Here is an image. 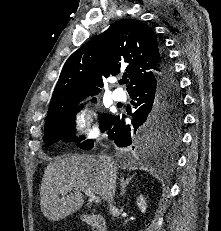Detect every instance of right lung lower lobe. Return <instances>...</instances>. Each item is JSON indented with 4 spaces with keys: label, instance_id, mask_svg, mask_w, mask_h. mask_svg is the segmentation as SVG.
I'll use <instances>...</instances> for the list:
<instances>
[{
    "label": "right lung lower lobe",
    "instance_id": "1",
    "mask_svg": "<svg viewBox=\"0 0 221 231\" xmlns=\"http://www.w3.org/2000/svg\"><path fill=\"white\" fill-rule=\"evenodd\" d=\"M159 77L150 85L138 88L130 92L132 99L136 100L134 104L137 110L133 114L132 125H126L124 116L114 119L111 117L104 131L108 130V137L114 140L119 147H128L144 158L157 157L165 153V146L147 139L142 128L148 121L150 114L162 95H168L173 99H178L182 104V97L174 72V68L162 50ZM83 149H91L93 141L87 140L80 145Z\"/></svg>",
    "mask_w": 221,
    "mask_h": 231
}]
</instances>
